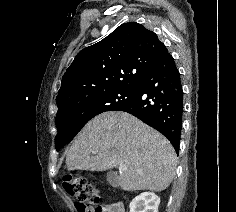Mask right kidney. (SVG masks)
I'll return each instance as SVG.
<instances>
[{"instance_id":"1","label":"right kidney","mask_w":236,"mask_h":212,"mask_svg":"<svg viewBox=\"0 0 236 212\" xmlns=\"http://www.w3.org/2000/svg\"><path fill=\"white\" fill-rule=\"evenodd\" d=\"M160 197L152 192H144L130 202V212H158Z\"/></svg>"}]
</instances>
